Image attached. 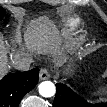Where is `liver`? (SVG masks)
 <instances>
[{
  "label": "liver",
  "instance_id": "liver-1",
  "mask_svg": "<svg viewBox=\"0 0 107 107\" xmlns=\"http://www.w3.org/2000/svg\"><path fill=\"white\" fill-rule=\"evenodd\" d=\"M48 21V18H45V21L42 23L41 22V19L39 20H35L31 23L30 27L28 29H30L31 27L32 28H36V27H40V26H43L47 23ZM29 31L28 30L26 33H25V38L27 39L28 35H29ZM19 26L16 30V37H19ZM27 54L24 52V48L20 49V51L15 55V57H19V56H26ZM14 57V58H15ZM8 71V57H7V49L6 47L1 44L0 46V73H1V76H3L6 72Z\"/></svg>",
  "mask_w": 107,
  "mask_h": 107
}]
</instances>
